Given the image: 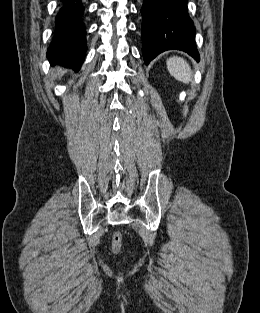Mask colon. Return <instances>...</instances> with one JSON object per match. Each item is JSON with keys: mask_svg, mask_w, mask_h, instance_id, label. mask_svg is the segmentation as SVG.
<instances>
[{"mask_svg": "<svg viewBox=\"0 0 260 313\" xmlns=\"http://www.w3.org/2000/svg\"><path fill=\"white\" fill-rule=\"evenodd\" d=\"M122 249V233L116 231L111 242V250L115 255H120Z\"/></svg>", "mask_w": 260, "mask_h": 313, "instance_id": "5ec220e1", "label": "colon"}]
</instances>
